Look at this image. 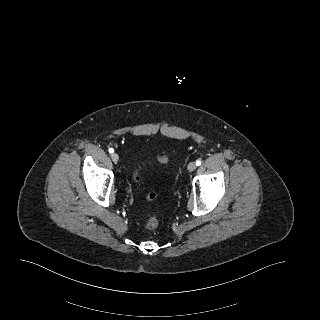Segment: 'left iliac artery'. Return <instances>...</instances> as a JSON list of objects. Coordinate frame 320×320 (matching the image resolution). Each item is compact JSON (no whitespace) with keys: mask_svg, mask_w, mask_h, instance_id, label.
Segmentation results:
<instances>
[{"mask_svg":"<svg viewBox=\"0 0 320 320\" xmlns=\"http://www.w3.org/2000/svg\"><path fill=\"white\" fill-rule=\"evenodd\" d=\"M201 163H202L201 160H197V161H196V165H197V166L201 165Z\"/></svg>","mask_w":320,"mask_h":320,"instance_id":"44dca946","label":"left iliac artery"}]
</instances>
